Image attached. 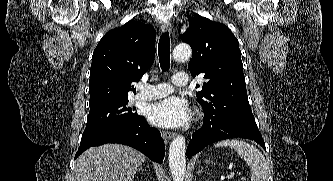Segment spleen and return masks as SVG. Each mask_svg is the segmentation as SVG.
Wrapping results in <instances>:
<instances>
[{"label":"spleen","mask_w":333,"mask_h":181,"mask_svg":"<svg viewBox=\"0 0 333 181\" xmlns=\"http://www.w3.org/2000/svg\"><path fill=\"white\" fill-rule=\"evenodd\" d=\"M218 147L230 146L238 156L251 167V181H268L269 165L263 154L254 146L237 139L223 140L214 145Z\"/></svg>","instance_id":"3e777b00"}]
</instances>
